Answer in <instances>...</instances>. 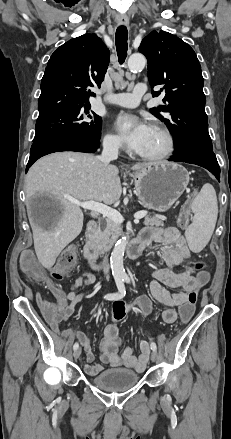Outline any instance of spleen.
I'll return each mask as SVG.
<instances>
[{
  "instance_id": "3e777b00",
  "label": "spleen",
  "mask_w": 231,
  "mask_h": 439,
  "mask_svg": "<svg viewBox=\"0 0 231 439\" xmlns=\"http://www.w3.org/2000/svg\"><path fill=\"white\" fill-rule=\"evenodd\" d=\"M193 221L185 235L190 249L200 252L209 242L217 221L218 204L214 187L207 183L192 202Z\"/></svg>"
}]
</instances>
